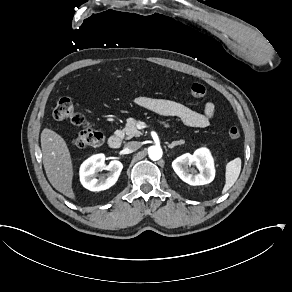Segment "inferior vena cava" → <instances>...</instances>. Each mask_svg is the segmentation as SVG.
I'll return each instance as SVG.
<instances>
[{
    "label": "inferior vena cava",
    "instance_id": "obj_1",
    "mask_svg": "<svg viewBox=\"0 0 292 292\" xmlns=\"http://www.w3.org/2000/svg\"><path fill=\"white\" fill-rule=\"evenodd\" d=\"M141 144L138 141H130L125 145V149L128 152H134L140 148Z\"/></svg>",
    "mask_w": 292,
    "mask_h": 292
}]
</instances>
